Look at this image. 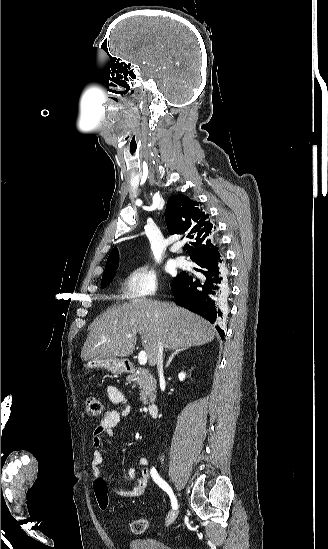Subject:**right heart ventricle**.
I'll list each match as a JSON object with an SVG mask.
<instances>
[{
	"mask_svg": "<svg viewBox=\"0 0 328 549\" xmlns=\"http://www.w3.org/2000/svg\"><path fill=\"white\" fill-rule=\"evenodd\" d=\"M115 299L117 300V303H120V301L123 299L122 294L116 295Z\"/></svg>",
	"mask_w": 328,
	"mask_h": 549,
	"instance_id": "e07e8e85",
	"label": "right heart ventricle"
}]
</instances>
